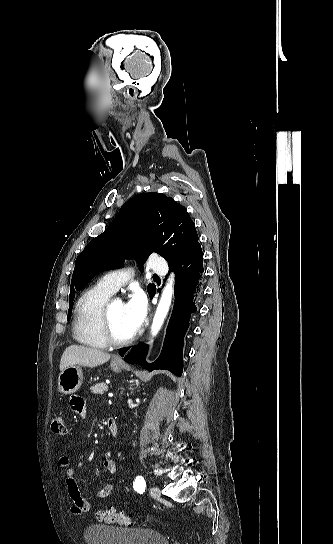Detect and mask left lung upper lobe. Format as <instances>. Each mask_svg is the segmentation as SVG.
<instances>
[{
	"mask_svg": "<svg viewBox=\"0 0 333 544\" xmlns=\"http://www.w3.org/2000/svg\"><path fill=\"white\" fill-rule=\"evenodd\" d=\"M187 210L171 197L151 192L127 201L113 222L76 259L67 319L77 290L101 271L120 266L126 258L146 260L153 252L173 267L200 244ZM156 291L148 285V294Z\"/></svg>",
	"mask_w": 333,
	"mask_h": 544,
	"instance_id": "1",
	"label": "left lung upper lobe"
}]
</instances>
